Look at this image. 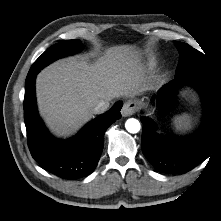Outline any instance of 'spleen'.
Segmentation results:
<instances>
[{
    "label": "spleen",
    "mask_w": 221,
    "mask_h": 221,
    "mask_svg": "<svg viewBox=\"0 0 221 221\" xmlns=\"http://www.w3.org/2000/svg\"><path fill=\"white\" fill-rule=\"evenodd\" d=\"M173 124L177 130L189 129L192 126L191 116L186 113L177 115L173 118Z\"/></svg>",
    "instance_id": "1"
}]
</instances>
